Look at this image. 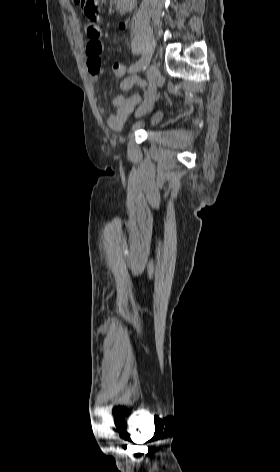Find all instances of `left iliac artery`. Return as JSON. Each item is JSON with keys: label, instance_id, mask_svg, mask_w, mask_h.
<instances>
[{"label": "left iliac artery", "instance_id": "1", "mask_svg": "<svg viewBox=\"0 0 280 472\" xmlns=\"http://www.w3.org/2000/svg\"><path fill=\"white\" fill-rule=\"evenodd\" d=\"M146 62H147V59L146 57H142L138 62L132 64L129 69H128V72L129 73H135V72H138L140 71L141 69H143L145 66H146Z\"/></svg>", "mask_w": 280, "mask_h": 472}]
</instances>
